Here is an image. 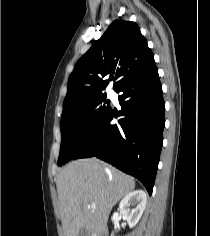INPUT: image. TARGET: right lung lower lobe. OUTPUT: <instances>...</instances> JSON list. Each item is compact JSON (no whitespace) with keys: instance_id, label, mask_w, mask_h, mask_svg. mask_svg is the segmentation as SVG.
I'll return each instance as SVG.
<instances>
[{"instance_id":"1","label":"right lung lower lobe","mask_w":210,"mask_h":236,"mask_svg":"<svg viewBox=\"0 0 210 236\" xmlns=\"http://www.w3.org/2000/svg\"><path fill=\"white\" fill-rule=\"evenodd\" d=\"M121 105L118 125L106 115L72 159L96 156L138 178L151 195L165 125V103L156 65L124 81L116 90Z\"/></svg>"}]
</instances>
